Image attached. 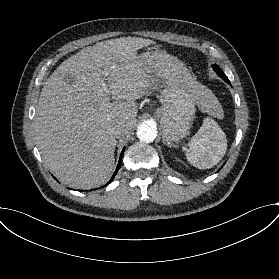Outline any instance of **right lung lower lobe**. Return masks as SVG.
Returning <instances> with one entry per match:
<instances>
[{
    "label": "right lung lower lobe",
    "mask_w": 279,
    "mask_h": 279,
    "mask_svg": "<svg viewBox=\"0 0 279 279\" xmlns=\"http://www.w3.org/2000/svg\"><path fill=\"white\" fill-rule=\"evenodd\" d=\"M123 153H124V149H123L122 152H121L120 159H119V162H118V166H117V168H116V170H115V172H114V174H113L111 180H110L107 184H109V183L112 182V180L114 179L116 173L118 172V170H119V168H120V165H121V160H122V155H123Z\"/></svg>",
    "instance_id": "obj_1"
}]
</instances>
